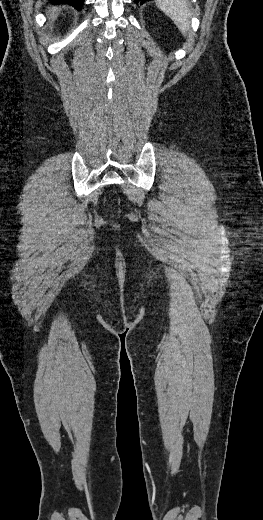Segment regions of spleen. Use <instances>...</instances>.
Returning a JSON list of instances; mask_svg holds the SVG:
<instances>
[{"mask_svg": "<svg viewBox=\"0 0 263 520\" xmlns=\"http://www.w3.org/2000/svg\"><path fill=\"white\" fill-rule=\"evenodd\" d=\"M156 5L171 18L183 35L188 34L192 13L187 0H156Z\"/></svg>", "mask_w": 263, "mask_h": 520, "instance_id": "spleen-1", "label": "spleen"}]
</instances>
